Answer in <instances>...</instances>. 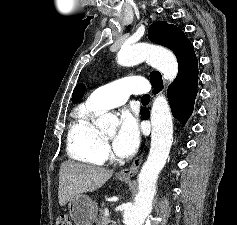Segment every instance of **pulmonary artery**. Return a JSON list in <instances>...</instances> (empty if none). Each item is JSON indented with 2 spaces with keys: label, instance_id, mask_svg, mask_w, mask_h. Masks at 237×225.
<instances>
[{
  "label": "pulmonary artery",
  "instance_id": "obj_1",
  "mask_svg": "<svg viewBox=\"0 0 237 225\" xmlns=\"http://www.w3.org/2000/svg\"><path fill=\"white\" fill-rule=\"evenodd\" d=\"M148 91L144 78L126 77L100 86L91 93L88 100L103 111L123 105L131 94H142Z\"/></svg>",
  "mask_w": 237,
  "mask_h": 225
}]
</instances>
